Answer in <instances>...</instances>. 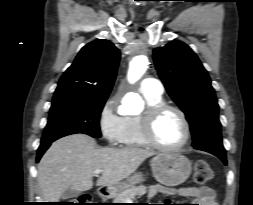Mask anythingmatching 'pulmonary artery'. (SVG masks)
Instances as JSON below:
<instances>
[{
	"label": "pulmonary artery",
	"mask_w": 253,
	"mask_h": 205,
	"mask_svg": "<svg viewBox=\"0 0 253 205\" xmlns=\"http://www.w3.org/2000/svg\"><path fill=\"white\" fill-rule=\"evenodd\" d=\"M140 91L145 94L160 96L163 94L164 87L160 80L148 77L142 80L140 84Z\"/></svg>",
	"instance_id": "obj_1"
}]
</instances>
